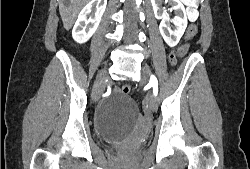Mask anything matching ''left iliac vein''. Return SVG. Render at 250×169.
Listing matches in <instances>:
<instances>
[{
  "instance_id": "1",
  "label": "left iliac vein",
  "mask_w": 250,
  "mask_h": 169,
  "mask_svg": "<svg viewBox=\"0 0 250 169\" xmlns=\"http://www.w3.org/2000/svg\"><path fill=\"white\" fill-rule=\"evenodd\" d=\"M141 72V83L145 84L151 76V70L148 66H144L142 67ZM146 103L151 110H155L157 107L156 96L154 94H148Z\"/></svg>"
}]
</instances>
